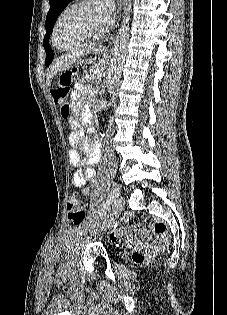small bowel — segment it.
Masks as SVG:
<instances>
[{"mask_svg":"<svg viewBox=\"0 0 227 315\" xmlns=\"http://www.w3.org/2000/svg\"><path fill=\"white\" fill-rule=\"evenodd\" d=\"M92 92L89 85L83 83H76L74 87V100L80 103L86 96ZM72 131L69 135V162L72 167L77 169L71 177V183L74 187L82 189L85 196H90L92 190L86 186L87 181L95 178L94 166L99 161V149L93 145L89 139H82L83 131L76 120L71 122ZM81 143V151L86 154V158L82 159L80 151L77 149L78 144Z\"/></svg>","mask_w":227,"mask_h":315,"instance_id":"obj_1","label":"small bowel"}]
</instances>
